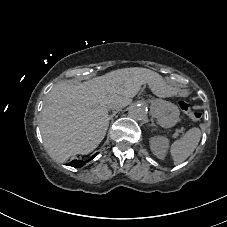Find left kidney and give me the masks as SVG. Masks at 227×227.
<instances>
[{"label":"left kidney","mask_w":227,"mask_h":227,"mask_svg":"<svg viewBox=\"0 0 227 227\" xmlns=\"http://www.w3.org/2000/svg\"><path fill=\"white\" fill-rule=\"evenodd\" d=\"M169 148V139L165 136H154L150 139V149L153 154L159 158L164 159Z\"/></svg>","instance_id":"1"}]
</instances>
